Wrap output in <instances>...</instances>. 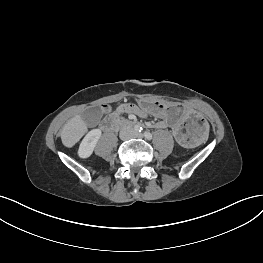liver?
Returning a JSON list of instances; mask_svg holds the SVG:
<instances>
[{
	"label": "liver",
	"mask_w": 263,
	"mask_h": 263,
	"mask_svg": "<svg viewBox=\"0 0 263 263\" xmlns=\"http://www.w3.org/2000/svg\"><path fill=\"white\" fill-rule=\"evenodd\" d=\"M87 128V123L80 114L68 120L61 132L63 145L68 148L73 147L86 133Z\"/></svg>",
	"instance_id": "obj_1"
}]
</instances>
